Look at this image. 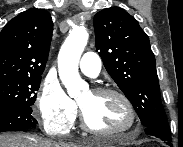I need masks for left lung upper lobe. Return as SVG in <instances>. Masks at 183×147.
Segmentation results:
<instances>
[{"mask_svg": "<svg viewBox=\"0 0 183 147\" xmlns=\"http://www.w3.org/2000/svg\"><path fill=\"white\" fill-rule=\"evenodd\" d=\"M93 23L96 48L104 66L132 103L142 125L169 128L155 57L139 23L120 7L99 11Z\"/></svg>", "mask_w": 183, "mask_h": 147, "instance_id": "left-lung-upper-lobe-1", "label": "left lung upper lobe"}]
</instances>
